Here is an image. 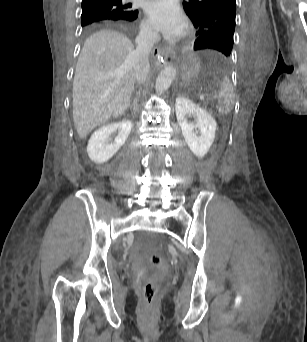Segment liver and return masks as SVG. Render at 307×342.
I'll return each instance as SVG.
<instances>
[{
  "label": "liver",
  "mask_w": 307,
  "mask_h": 342,
  "mask_svg": "<svg viewBox=\"0 0 307 342\" xmlns=\"http://www.w3.org/2000/svg\"><path fill=\"white\" fill-rule=\"evenodd\" d=\"M132 52L131 40L114 30L87 38L73 82V120L79 138L129 108L136 82Z\"/></svg>",
  "instance_id": "1"
}]
</instances>
